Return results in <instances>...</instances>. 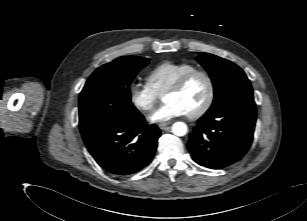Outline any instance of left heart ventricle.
<instances>
[{"label": "left heart ventricle", "instance_id": "1", "mask_svg": "<svg viewBox=\"0 0 307 221\" xmlns=\"http://www.w3.org/2000/svg\"><path fill=\"white\" fill-rule=\"evenodd\" d=\"M208 84L204 77H194L186 87L177 93L166 94V102H177L187 114L197 111L206 101Z\"/></svg>", "mask_w": 307, "mask_h": 221}]
</instances>
